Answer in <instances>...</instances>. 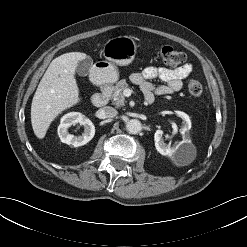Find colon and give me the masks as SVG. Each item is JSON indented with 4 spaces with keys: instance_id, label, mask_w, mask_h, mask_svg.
Wrapping results in <instances>:
<instances>
[{
    "instance_id": "5ec220e1",
    "label": "colon",
    "mask_w": 247,
    "mask_h": 247,
    "mask_svg": "<svg viewBox=\"0 0 247 247\" xmlns=\"http://www.w3.org/2000/svg\"><path fill=\"white\" fill-rule=\"evenodd\" d=\"M159 54L161 61L167 66H178L184 63L186 59L183 52L172 46H163ZM188 92L195 98L200 97L203 92L202 84L197 79H191L188 83Z\"/></svg>"
}]
</instances>
